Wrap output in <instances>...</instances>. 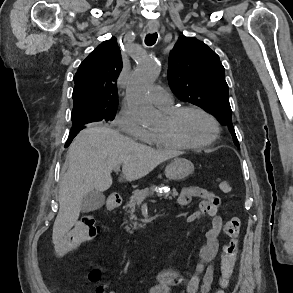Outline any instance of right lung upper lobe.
I'll return each instance as SVG.
<instances>
[{"mask_svg": "<svg viewBox=\"0 0 293 293\" xmlns=\"http://www.w3.org/2000/svg\"><path fill=\"white\" fill-rule=\"evenodd\" d=\"M121 69V52L116 39L102 42L80 64L74 76L73 107L89 110L116 109V81Z\"/></svg>", "mask_w": 293, "mask_h": 293, "instance_id": "right-lung-upper-lobe-1", "label": "right lung upper lobe"}]
</instances>
